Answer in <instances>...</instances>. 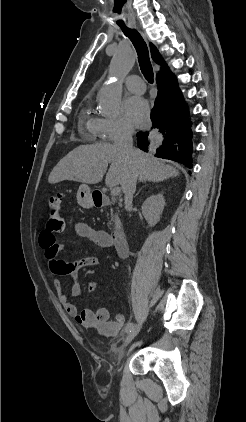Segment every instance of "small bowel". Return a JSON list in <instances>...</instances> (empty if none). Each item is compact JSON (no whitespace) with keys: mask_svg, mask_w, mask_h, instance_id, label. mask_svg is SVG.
<instances>
[{"mask_svg":"<svg viewBox=\"0 0 246 422\" xmlns=\"http://www.w3.org/2000/svg\"><path fill=\"white\" fill-rule=\"evenodd\" d=\"M76 233L82 240L95 243L104 248L110 247V238L105 231L94 229L84 223H78L76 225ZM39 245L44 250L45 259L52 275V284L57 292L59 301L68 314L73 316L80 325L86 328L98 329L106 335H116L119 333L126 322L124 315L118 314L112 320L110 312L103 307L97 308L96 310L83 309L79 311L63 291L60 281V276L70 275L73 278L71 295L78 296L81 292V286L78 281L79 270L87 266H97L99 264L98 258L88 256L73 263L58 258L60 252L68 250V246L58 243L54 231L48 227L40 232ZM100 285L101 283L99 281L90 282L88 284V290L91 292L95 291Z\"/></svg>","mask_w":246,"mask_h":422,"instance_id":"c3829d8e","label":"small bowel"}]
</instances>
